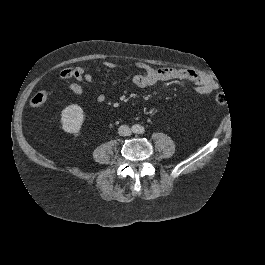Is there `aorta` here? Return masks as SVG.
<instances>
[{
	"label": "aorta",
	"mask_w": 265,
	"mask_h": 265,
	"mask_svg": "<svg viewBox=\"0 0 265 265\" xmlns=\"http://www.w3.org/2000/svg\"><path fill=\"white\" fill-rule=\"evenodd\" d=\"M131 130H132L133 133H136V134L142 133L143 132V126L140 125V124H134L132 126Z\"/></svg>",
	"instance_id": "obj_1"
}]
</instances>
